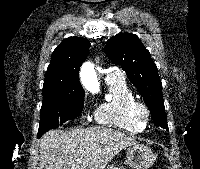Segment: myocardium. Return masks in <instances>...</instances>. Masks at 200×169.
I'll return each mask as SVG.
<instances>
[{"label":"myocardium","mask_w":200,"mask_h":169,"mask_svg":"<svg viewBox=\"0 0 200 169\" xmlns=\"http://www.w3.org/2000/svg\"><path fill=\"white\" fill-rule=\"evenodd\" d=\"M132 112L135 120L142 126H145L150 119V111L143 103L137 102L133 106Z\"/></svg>","instance_id":"obj_1"}]
</instances>
